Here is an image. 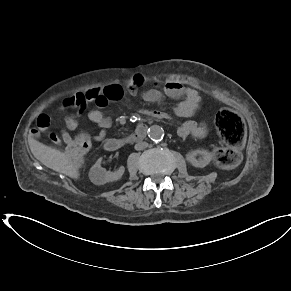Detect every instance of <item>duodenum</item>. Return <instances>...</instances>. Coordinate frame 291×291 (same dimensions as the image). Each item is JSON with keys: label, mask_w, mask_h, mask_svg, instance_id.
I'll use <instances>...</instances> for the list:
<instances>
[{"label": "duodenum", "mask_w": 291, "mask_h": 291, "mask_svg": "<svg viewBox=\"0 0 291 291\" xmlns=\"http://www.w3.org/2000/svg\"><path fill=\"white\" fill-rule=\"evenodd\" d=\"M147 126L141 123L137 126L135 131L124 138H110L104 142V149L112 152L121 149L122 147L135 143L141 140L146 135Z\"/></svg>", "instance_id": "1"}]
</instances>
